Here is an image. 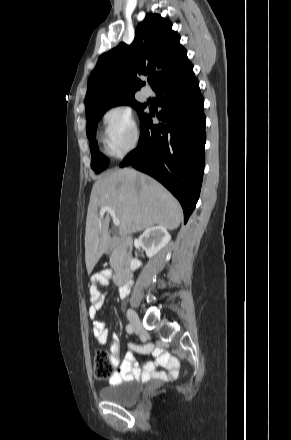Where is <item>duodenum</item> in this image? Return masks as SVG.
<instances>
[{
  "label": "duodenum",
  "mask_w": 291,
  "mask_h": 440,
  "mask_svg": "<svg viewBox=\"0 0 291 440\" xmlns=\"http://www.w3.org/2000/svg\"><path fill=\"white\" fill-rule=\"evenodd\" d=\"M123 251L120 253L115 266L114 279L120 284H130L132 278V249L133 242L128 238H123Z\"/></svg>",
  "instance_id": "410a0bca"
}]
</instances>
